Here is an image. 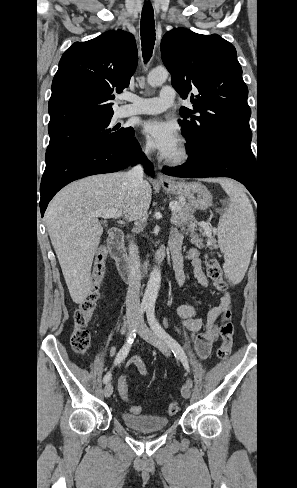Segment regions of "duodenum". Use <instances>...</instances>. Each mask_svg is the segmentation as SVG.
I'll use <instances>...</instances> for the list:
<instances>
[{
	"label": "duodenum",
	"instance_id": "1",
	"mask_svg": "<svg viewBox=\"0 0 297 488\" xmlns=\"http://www.w3.org/2000/svg\"><path fill=\"white\" fill-rule=\"evenodd\" d=\"M107 244L110 255L115 260L118 271L122 278L129 283L134 282L136 280V275L124 247L123 232L119 229L111 230L108 236ZM170 251L171 249L169 246H165L159 249L154 257L153 262H159Z\"/></svg>",
	"mask_w": 297,
	"mask_h": 488
}]
</instances>
